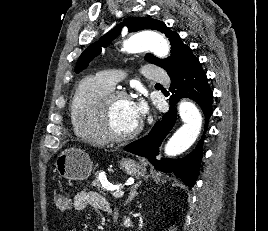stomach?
<instances>
[{"instance_id": "stomach-1", "label": "stomach", "mask_w": 268, "mask_h": 231, "mask_svg": "<svg viewBox=\"0 0 268 231\" xmlns=\"http://www.w3.org/2000/svg\"><path fill=\"white\" fill-rule=\"evenodd\" d=\"M119 165L120 169L130 176L139 177L146 174L145 166L132 159L123 158ZM55 166L60 177L82 181L91 175L93 163L84 150L71 147L59 154Z\"/></svg>"}]
</instances>
